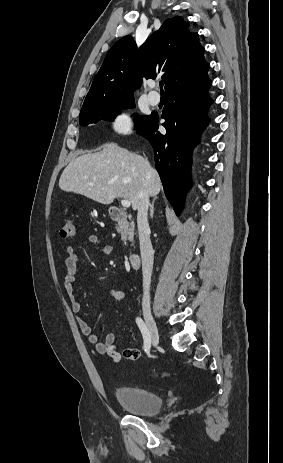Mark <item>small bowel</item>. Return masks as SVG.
I'll use <instances>...</instances> for the list:
<instances>
[{
  "label": "small bowel",
  "instance_id": "1",
  "mask_svg": "<svg viewBox=\"0 0 283 463\" xmlns=\"http://www.w3.org/2000/svg\"><path fill=\"white\" fill-rule=\"evenodd\" d=\"M89 242L93 245L101 247L102 257H107L112 253V247L106 245L97 235H90ZM79 263V256L75 251V248L72 245L66 247V275L64 279V290L70 299V306L74 313H79L81 309L80 301L74 296V281L75 273ZM109 295L115 301H122L125 299V292L118 289H110L108 291ZM78 325L82 333L87 337L89 344L95 347V350L99 354L108 355L113 362L118 363L122 358H125L129 361H136L140 353L135 348H126L122 352L117 350V336L115 333H108L104 340H99L98 336L92 332L91 326L87 321L78 317Z\"/></svg>",
  "mask_w": 283,
  "mask_h": 463
}]
</instances>
